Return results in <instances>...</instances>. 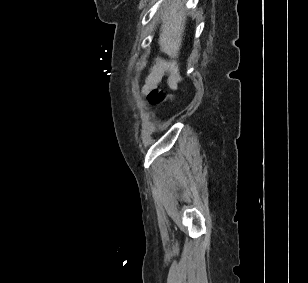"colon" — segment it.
Wrapping results in <instances>:
<instances>
[{"mask_svg":"<svg viewBox=\"0 0 308 283\" xmlns=\"http://www.w3.org/2000/svg\"><path fill=\"white\" fill-rule=\"evenodd\" d=\"M168 99V95L157 89H153L148 93V100L153 105H160Z\"/></svg>","mask_w":308,"mask_h":283,"instance_id":"obj_1","label":"colon"}]
</instances>
